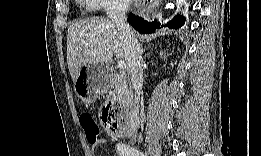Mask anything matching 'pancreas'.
Listing matches in <instances>:
<instances>
[{
  "label": "pancreas",
  "mask_w": 261,
  "mask_h": 156,
  "mask_svg": "<svg viewBox=\"0 0 261 156\" xmlns=\"http://www.w3.org/2000/svg\"><path fill=\"white\" fill-rule=\"evenodd\" d=\"M110 87L114 90L113 93L119 103L126 106L131 104L132 94L124 71L110 74Z\"/></svg>",
  "instance_id": "obj_1"
}]
</instances>
